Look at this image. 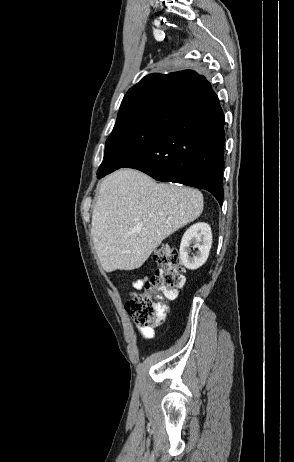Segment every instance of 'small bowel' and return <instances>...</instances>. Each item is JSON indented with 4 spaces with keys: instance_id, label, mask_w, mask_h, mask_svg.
I'll use <instances>...</instances> for the list:
<instances>
[{
    "instance_id": "c3829d8e",
    "label": "small bowel",
    "mask_w": 294,
    "mask_h": 462,
    "mask_svg": "<svg viewBox=\"0 0 294 462\" xmlns=\"http://www.w3.org/2000/svg\"><path fill=\"white\" fill-rule=\"evenodd\" d=\"M147 281V278L136 280L132 283L133 290L129 292V296L134 297L136 295L135 290H140L144 283ZM139 333L146 339H152L155 336V329L150 326H140L137 328Z\"/></svg>"
}]
</instances>
